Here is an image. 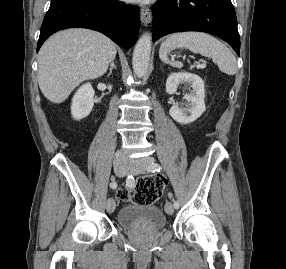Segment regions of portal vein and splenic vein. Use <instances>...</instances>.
<instances>
[{
  "label": "portal vein and splenic vein",
  "instance_id": "18ae733b",
  "mask_svg": "<svg viewBox=\"0 0 286 269\" xmlns=\"http://www.w3.org/2000/svg\"><path fill=\"white\" fill-rule=\"evenodd\" d=\"M206 67V63H202V64H199L198 65V68H201V69H203V68H205Z\"/></svg>",
  "mask_w": 286,
  "mask_h": 269
}]
</instances>
